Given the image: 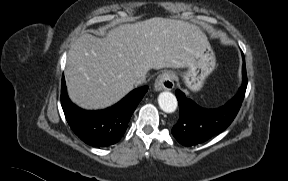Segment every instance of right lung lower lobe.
I'll list each match as a JSON object with an SVG mask.
<instances>
[{"instance_id":"obj_1","label":"right lung lower lobe","mask_w":288,"mask_h":181,"mask_svg":"<svg viewBox=\"0 0 288 181\" xmlns=\"http://www.w3.org/2000/svg\"><path fill=\"white\" fill-rule=\"evenodd\" d=\"M147 90V86L135 89L105 110L87 111L70 101L63 78L61 105L68 124L83 142L94 147H107L124 136L131 115Z\"/></svg>"}]
</instances>
